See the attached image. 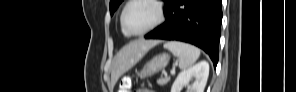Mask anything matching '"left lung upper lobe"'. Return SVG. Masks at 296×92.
Returning a JSON list of instances; mask_svg holds the SVG:
<instances>
[{
	"label": "left lung upper lobe",
	"instance_id": "5c2ea615",
	"mask_svg": "<svg viewBox=\"0 0 296 92\" xmlns=\"http://www.w3.org/2000/svg\"><path fill=\"white\" fill-rule=\"evenodd\" d=\"M123 0H110V13L111 15L114 14L115 10L118 8V6L120 5V3L122 2ZM166 5L167 3L169 2V0H163Z\"/></svg>",
	"mask_w": 296,
	"mask_h": 92
}]
</instances>
